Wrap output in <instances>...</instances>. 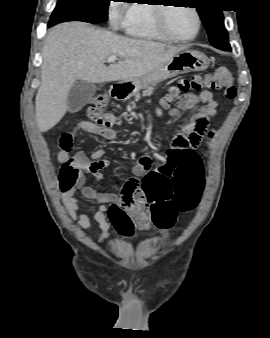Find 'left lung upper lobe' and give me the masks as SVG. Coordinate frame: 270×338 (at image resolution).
Here are the masks:
<instances>
[{
    "label": "left lung upper lobe",
    "instance_id": "left-lung-upper-lobe-1",
    "mask_svg": "<svg viewBox=\"0 0 270 338\" xmlns=\"http://www.w3.org/2000/svg\"><path fill=\"white\" fill-rule=\"evenodd\" d=\"M219 0H200L197 11L207 30L210 43L221 50H228L229 36L224 26L223 13L216 6Z\"/></svg>",
    "mask_w": 270,
    "mask_h": 338
}]
</instances>
